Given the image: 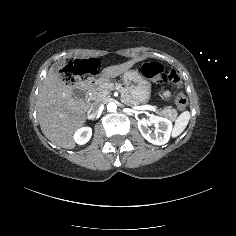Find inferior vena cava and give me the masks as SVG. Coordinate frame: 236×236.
I'll list each match as a JSON object with an SVG mask.
<instances>
[{
    "label": "inferior vena cava",
    "instance_id": "1",
    "mask_svg": "<svg viewBox=\"0 0 236 236\" xmlns=\"http://www.w3.org/2000/svg\"><path fill=\"white\" fill-rule=\"evenodd\" d=\"M101 104H95L91 107L90 109V117L92 119L96 118L97 116H99V114L101 113Z\"/></svg>",
    "mask_w": 236,
    "mask_h": 236
}]
</instances>
